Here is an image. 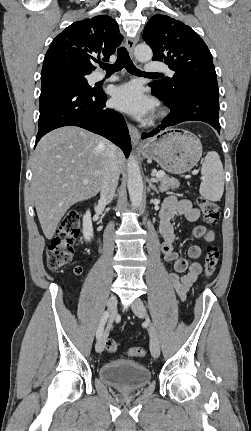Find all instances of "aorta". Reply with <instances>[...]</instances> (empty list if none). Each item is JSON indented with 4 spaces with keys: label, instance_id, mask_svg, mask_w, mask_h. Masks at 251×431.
Segmentation results:
<instances>
[{
    "label": "aorta",
    "instance_id": "obj_1",
    "mask_svg": "<svg viewBox=\"0 0 251 431\" xmlns=\"http://www.w3.org/2000/svg\"><path fill=\"white\" fill-rule=\"evenodd\" d=\"M134 54L139 61H148L153 56L151 48L147 45L136 46ZM127 187L132 206L140 207L143 200V181L138 162L133 154L129 156L127 163Z\"/></svg>",
    "mask_w": 251,
    "mask_h": 431
}]
</instances>
